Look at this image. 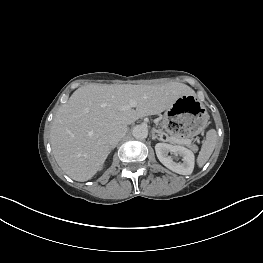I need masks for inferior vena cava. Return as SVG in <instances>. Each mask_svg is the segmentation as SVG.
<instances>
[{"mask_svg": "<svg viewBox=\"0 0 263 263\" xmlns=\"http://www.w3.org/2000/svg\"><path fill=\"white\" fill-rule=\"evenodd\" d=\"M127 133V126H121L115 128L109 135V144L111 147L116 146L118 142L125 136Z\"/></svg>", "mask_w": 263, "mask_h": 263, "instance_id": "602c4592", "label": "inferior vena cava"}]
</instances>
